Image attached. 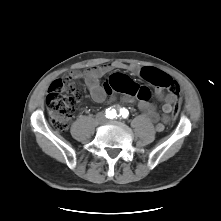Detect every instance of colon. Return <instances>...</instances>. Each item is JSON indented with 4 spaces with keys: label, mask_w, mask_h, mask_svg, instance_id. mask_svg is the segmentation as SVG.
I'll list each match as a JSON object with an SVG mask.
<instances>
[{
    "label": "colon",
    "mask_w": 221,
    "mask_h": 221,
    "mask_svg": "<svg viewBox=\"0 0 221 221\" xmlns=\"http://www.w3.org/2000/svg\"><path fill=\"white\" fill-rule=\"evenodd\" d=\"M141 76L151 84L166 88L171 94L180 98L181 88L177 81L170 75L154 68H143ZM124 90L140 100H148L151 96L150 89L145 85L130 83ZM81 90L70 78L57 79L49 87L47 96V110L52 125L57 130H65L72 118ZM180 111V103H175L173 115L177 116Z\"/></svg>",
    "instance_id": "5ec220e1"
}]
</instances>
